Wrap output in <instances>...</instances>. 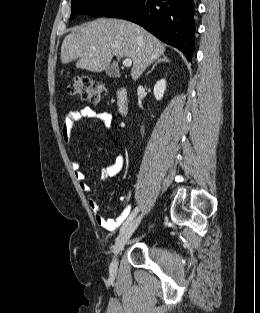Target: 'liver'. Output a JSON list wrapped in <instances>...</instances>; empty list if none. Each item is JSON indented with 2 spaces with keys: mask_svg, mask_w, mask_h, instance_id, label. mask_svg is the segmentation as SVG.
I'll return each instance as SVG.
<instances>
[{
  "mask_svg": "<svg viewBox=\"0 0 260 313\" xmlns=\"http://www.w3.org/2000/svg\"><path fill=\"white\" fill-rule=\"evenodd\" d=\"M165 52V46L139 25L122 19L100 18L73 28L61 46V62L91 72L106 70L114 56L132 60L137 80Z\"/></svg>",
  "mask_w": 260,
  "mask_h": 313,
  "instance_id": "obj_1",
  "label": "liver"
}]
</instances>
